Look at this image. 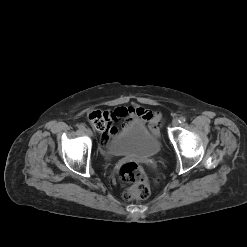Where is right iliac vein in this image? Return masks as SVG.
<instances>
[{"label":"right iliac vein","mask_w":247,"mask_h":247,"mask_svg":"<svg viewBox=\"0 0 247 247\" xmlns=\"http://www.w3.org/2000/svg\"><path fill=\"white\" fill-rule=\"evenodd\" d=\"M85 133L87 134V135H89V136H92V130L90 129V128H86L85 129Z\"/></svg>","instance_id":"1"}]
</instances>
